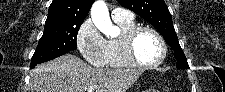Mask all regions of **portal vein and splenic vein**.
I'll use <instances>...</instances> for the list:
<instances>
[{"label":"portal vein and splenic vein","instance_id":"portal-vein-and-splenic-vein-1","mask_svg":"<svg viewBox=\"0 0 225 92\" xmlns=\"http://www.w3.org/2000/svg\"><path fill=\"white\" fill-rule=\"evenodd\" d=\"M96 89V85H91L88 89L87 92H94Z\"/></svg>","mask_w":225,"mask_h":92}]
</instances>
